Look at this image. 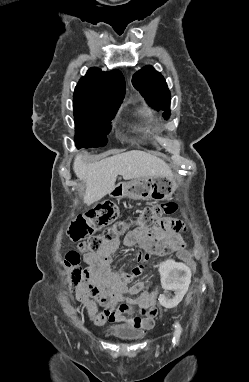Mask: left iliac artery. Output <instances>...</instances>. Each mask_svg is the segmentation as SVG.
I'll return each mask as SVG.
<instances>
[{"instance_id": "44dca946", "label": "left iliac artery", "mask_w": 249, "mask_h": 382, "mask_svg": "<svg viewBox=\"0 0 249 382\" xmlns=\"http://www.w3.org/2000/svg\"><path fill=\"white\" fill-rule=\"evenodd\" d=\"M181 326L179 322H175V332H174V338H173V343L177 344L181 335Z\"/></svg>"}]
</instances>
